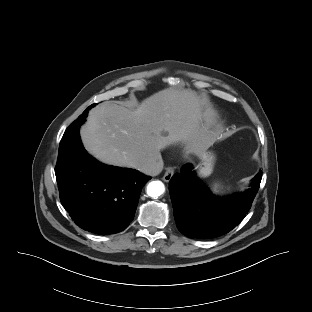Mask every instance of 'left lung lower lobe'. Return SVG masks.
Listing matches in <instances>:
<instances>
[{
	"instance_id": "obj_1",
	"label": "left lung lower lobe",
	"mask_w": 312,
	"mask_h": 312,
	"mask_svg": "<svg viewBox=\"0 0 312 312\" xmlns=\"http://www.w3.org/2000/svg\"><path fill=\"white\" fill-rule=\"evenodd\" d=\"M186 164L169 182L178 230L189 238L209 239L228 233L248 213L260 187L262 171L251 187L229 197L214 196Z\"/></svg>"
}]
</instances>
